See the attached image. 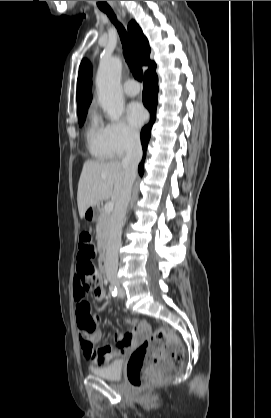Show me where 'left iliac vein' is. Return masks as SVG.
<instances>
[{
	"instance_id": "obj_1",
	"label": "left iliac vein",
	"mask_w": 271,
	"mask_h": 418,
	"mask_svg": "<svg viewBox=\"0 0 271 418\" xmlns=\"http://www.w3.org/2000/svg\"><path fill=\"white\" fill-rule=\"evenodd\" d=\"M118 295L120 298L125 297V291L120 286H118Z\"/></svg>"
}]
</instances>
